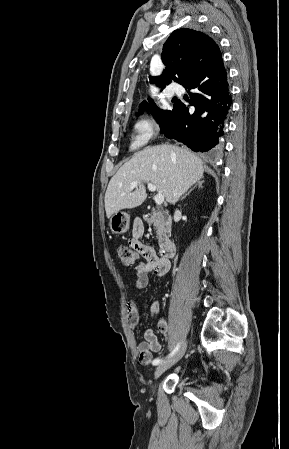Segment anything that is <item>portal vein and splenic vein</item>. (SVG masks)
Instances as JSON below:
<instances>
[{"label": "portal vein and splenic vein", "mask_w": 289, "mask_h": 449, "mask_svg": "<svg viewBox=\"0 0 289 449\" xmlns=\"http://www.w3.org/2000/svg\"><path fill=\"white\" fill-rule=\"evenodd\" d=\"M140 183V181H134L130 184L131 189H134L135 187H137V185ZM147 187L150 191L154 192L156 191V186L152 183H147ZM155 203L157 205H161L164 202V195L162 193H158L157 195H155L154 197Z\"/></svg>", "instance_id": "obj_1"}]
</instances>
